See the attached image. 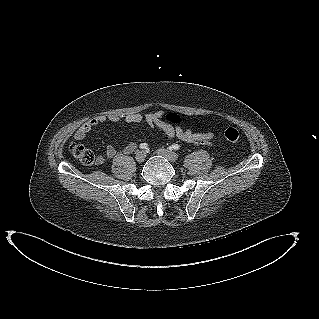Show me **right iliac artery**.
<instances>
[{
  "mask_svg": "<svg viewBox=\"0 0 319 319\" xmlns=\"http://www.w3.org/2000/svg\"><path fill=\"white\" fill-rule=\"evenodd\" d=\"M139 147H140V149H148V144L141 143Z\"/></svg>",
  "mask_w": 319,
  "mask_h": 319,
  "instance_id": "1",
  "label": "right iliac artery"
}]
</instances>
